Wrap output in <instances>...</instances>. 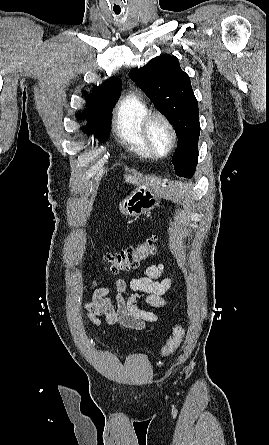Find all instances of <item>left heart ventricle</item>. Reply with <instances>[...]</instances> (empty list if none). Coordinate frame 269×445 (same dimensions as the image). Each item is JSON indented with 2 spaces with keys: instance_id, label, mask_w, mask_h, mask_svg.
<instances>
[{
  "instance_id": "b2bd125f",
  "label": "left heart ventricle",
  "mask_w": 269,
  "mask_h": 445,
  "mask_svg": "<svg viewBox=\"0 0 269 445\" xmlns=\"http://www.w3.org/2000/svg\"><path fill=\"white\" fill-rule=\"evenodd\" d=\"M151 141L159 153H165L171 144V135L167 127L160 120L152 123L150 128Z\"/></svg>"
}]
</instances>
